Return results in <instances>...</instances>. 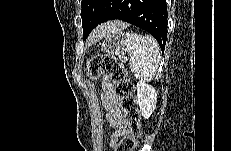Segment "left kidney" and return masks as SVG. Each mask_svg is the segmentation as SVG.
I'll list each match as a JSON object with an SVG mask.
<instances>
[{"label":"left kidney","mask_w":231,"mask_h":151,"mask_svg":"<svg viewBox=\"0 0 231 151\" xmlns=\"http://www.w3.org/2000/svg\"><path fill=\"white\" fill-rule=\"evenodd\" d=\"M157 92L145 81L137 83V104L140 107L141 115L148 119L156 108Z\"/></svg>","instance_id":"left-kidney-1"}]
</instances>
